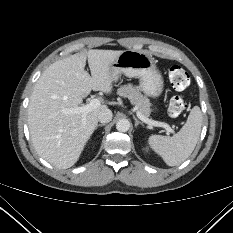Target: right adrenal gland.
I'll use <instances>...</instances> for the list:
<instances>
[{
	"mask_svg": "<svg viewBox=\"0 0 233 233\" xmlns=\"http://www.w3.org/2000/svg\"><path fill=\"white\" fill-rule=\"evenodd\" d=\"M105 124H98L97 125V127H96V129L98 128V127H102V126H104Z\"/></svg>",
	"mask_w": 233,
	"mask_h": 233,
	"instance_id": "right-adrenal-gland-1",
	"label": "right adrenal gland"
}]
</instances>
